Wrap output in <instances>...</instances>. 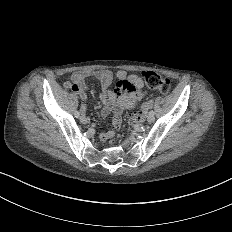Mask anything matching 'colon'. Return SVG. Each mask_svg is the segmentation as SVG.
Wrapping results in <instances>:
<instances>
[{"mask_svg":"<svg viewBox=\"0 0 232 232\" xmlns=\"http://www.w3.org/2000/svg\"><path fill=\"white\" fill-rule=\"evenodd\" d=\"M146 86H151L154 97H163L164 95H172V90H167L168 86H173L174 82L170 81L166 76L158 75L157 71H150L144 76Z\"/></svg>","mask_w":232,"mask_h":232,"instance_id":"5ec220e1","label":"colon"}]
</instances>
